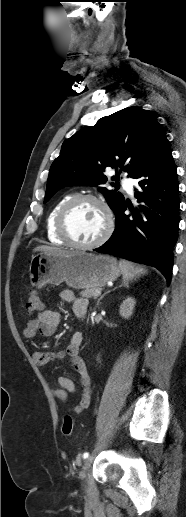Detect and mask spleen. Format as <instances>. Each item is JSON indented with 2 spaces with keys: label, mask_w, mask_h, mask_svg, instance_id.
Instances as JSON below:
<instances>
[{
  "label": "spleen",
  "mask_w": 186,
  "mask_h": 517,
  "mask_svg": "<svg viewBox=\"0 0 186 517\" xmlns=\"http://www.w3.org/2000/svg\"><path fill=\"white\" fill-rule=\"evenodd\" d=\"M119 267L123 275V280L126 283L133 281L147 272L145 268L126 260H120Z\"/></svg>",
  "instance_id": "obj_1"
}]
</instances>
